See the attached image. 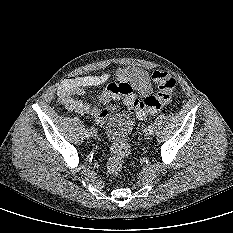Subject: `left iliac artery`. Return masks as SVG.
I'll use <instances>...</instances> for the list:
<instances>
[{
    "instance_id": "44dca946",
    "label": "left iliac artery",
    "mask_w": 233,
    "mask_h": 233,
    "mask_svg": "<svg viewBox=\"0 0 233 233\" xmlns=\"http://www.w3.org/2000/svg\"><path fill=\"white\" fill-rule=\"evenodd\" d=\"M147 129H148L150 135H152V134H153V129H154V128H153V125H152V124H149L148 127H147Z\"/></svg>"
}]
</instances>
